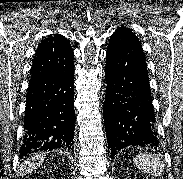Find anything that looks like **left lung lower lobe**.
<instances>
[{
	"label": "left lung lower lobe",
	"instance_id": "0a47b994",
	"mask_svg": "<svg viewBox=\"0 0 183 179\" xmlns=\"http://www.w3.org/2000/svg\"><path fill=\"white\" fill-rule=\"evenodd\" d=\"M104 123L111 158L127 146L157 149L158 133L143 50L130 30H116L106 53Z\"/></svg>",
	"mask_w": 183,
	"mask_h": 179
}]
</instances>
